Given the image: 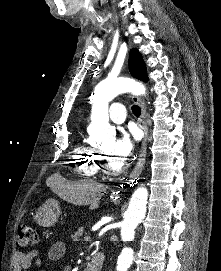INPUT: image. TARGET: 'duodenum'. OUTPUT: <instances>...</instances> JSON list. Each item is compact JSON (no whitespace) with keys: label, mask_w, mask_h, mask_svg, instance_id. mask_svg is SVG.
Masks as SVG:
<instances>
[{"label":"duodenum","mask_w":221,"mask_h":271,"mask_svg":"<svg viewBox=\"0 0 221 271\" xmlns=\"http://www.w3.org/2000/svg\"><path fill=\"white\" fill-rule=\"evenodd\" d=\"M104 261H105L104 253L98 251L94 253L92 259L90 260V262L87 264L83 271H102Z\"/></svg>","instance_id":"1"}]
</instances>
